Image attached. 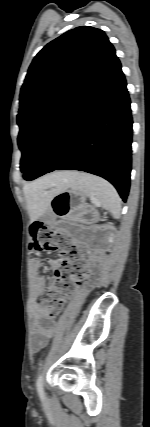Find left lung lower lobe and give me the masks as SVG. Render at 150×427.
Instances as JSON below:
<instances>
[{
	"mask_svg": "<svg viewBox=\"0 0 150 427\" xmlns=\"http://www.w3.org/2000/svg\"><path fill=\"white\" fill-rule=\"evenodd\" d=\"M132 117L115 56L55 117L37 141L23 178L79 170L111 182L123 201L130 188Z\"/></svg>",
	"mask_w": 150,
	"mask_h": 427,
	"instance_id": "0a47b994",
	"label": "left lung lower lobe"
}]
</instances>
